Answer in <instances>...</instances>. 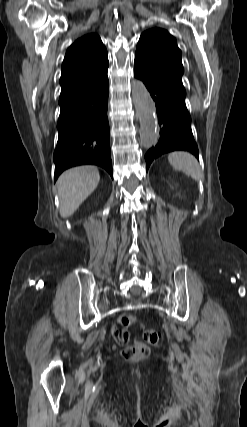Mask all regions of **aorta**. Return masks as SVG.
Listing matches in <instances>:
<instances>
[{"mask_svg": "<svg viewBox=\"0 0 247 427\" xmlns=\"http://www.w3.org/2000/svg\"><path fill=\"white\" fill-rule=\"evenodd\" d=\"M132 99L140 121V142L143 147L151 148L158 141V122L153 100L140 80L133 83Z\"/></svg>", "mask_w": 247, "mask_h": 427, "instance_id": "obj_1", "label": "aorta"}]
</instances>
